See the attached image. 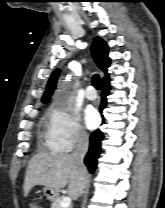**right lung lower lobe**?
Listing matches in <instances>:
<instances>
[{"instance_id": "98d812e1", "label": "right lung lower lobe", "mask_w": 165, "mask_h": 208, "mask_svg": "<svg viewBox=\"0 0 165 208\" xmlns=\"http://www.w3.org/2000/svg\"><path fill=\"white\" fill-rule=\"evenodd\" d=\"M103 92H102V101L100 105V112L106 107L107 101L106 96L109 94L110 83L109 79L102 83ZM104 136L100 130L94 131L90 136V146L87 155L85 156L84 162L88 167L90 172H94L97 164V159L101 151V141Z\"/></svg>"}]
</instances>
